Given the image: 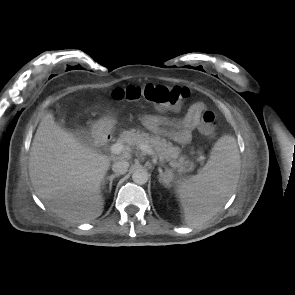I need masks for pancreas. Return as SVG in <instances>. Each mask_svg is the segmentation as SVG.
<instances>
[{
  "mask_svg": "<svg viewBox=\"0 0 295 295\" xmlns=\"http://www.w3.org/2000/svg\"><path fill=\"white\" fill-rule=\"evenodd\" d=\"M119 141L129 146L148 145L155 151L160 161L169 162L171 167L179 169L181 172L190 171L194 167L191 161L186 160L183 156H179L180 148L173 147L171 143H167L165 139L159 136H150L148 133L141 132L140 130L130 129L122 132Z\"/></svg>",
  "mask_w": 295,
  "mask_h": 295,
  "instance_id": "1",
  "label": "pancreas"
}]
</instances>
